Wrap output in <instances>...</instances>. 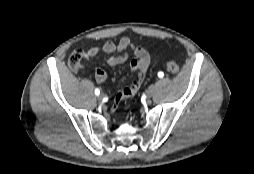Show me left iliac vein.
I'll use <instances>...</instances> for the list:
<instances>
[{
  "label": "left iliac vein",
  "mask_w": 254,
  "mask_h": 174,
  "mask_svg": "<svg viewBox=\"0 0 254 174\" xmlns=\"http://www.w3.org/2000/svg\"><path fill=\"white\" fill-rule=\"evenodd\" d=\"M156 92V87L154 85H151L147 90V96L148 98H151Z\"/></svg>",
  "instance_id": "4c4485c4"
}]
</instances>
